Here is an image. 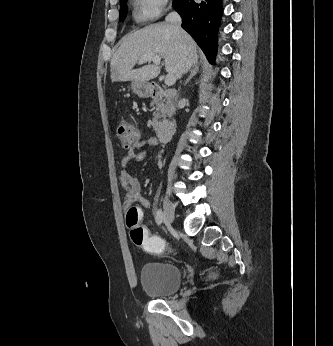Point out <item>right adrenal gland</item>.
<instances>
[{
	"mask_svg": "<svg viewBox=\"0 0 333 346\" xmlns=\"http://www.w3.org/2000/svg\"><path fill=\"white\" fill-rule=\"evenodd\" d=\"M198 71H199V64L196 63V64L192 67V69H191V71H190V75H189L188 79L185 81L184 86L187 85V83L198 73Z\"/></svg>",
	"mask_w": 333,
	"mask_h": 346,
	"instance_id": "1",
	"label": "right adrenal gland"
}]
</instances>
